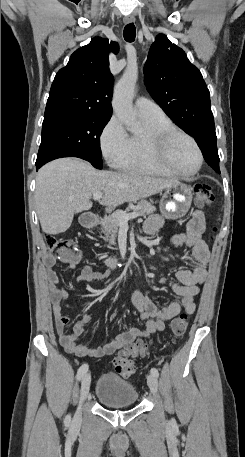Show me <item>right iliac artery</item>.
<instances>
[{"mask_svg": "<svg viewBox=\"0 0 245 457\" xmlns=\"http://www.w3.org/2000/svg\"><path fill=\"white\" fill-rule=\"evenodd\" d=\"M87 371H88V364L81 365V367L78 369V372H77V379L80 380L84 376V374H86ZM69 422H70V418L67 417L66 423H69Z\"/></svg>", "mask_w": 245, "mask_h": 457, "instance_id": "right-iliac-artery-1", "label": "right iliac artery"}]
</instances>
